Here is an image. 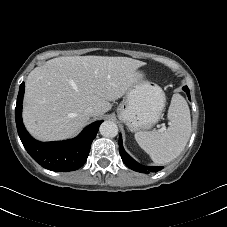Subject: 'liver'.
<instances>
[{"label":"liver","mask_w":227,"mask_h":227,"mask_svg":"<svg viewBox=\"0 0 227 227\" xmlns=\"http://www.w3.org/2000/svg\"><path fill=\"white\" fill-rule=\"evenodd\" d=\"M146 63L128 57L66 56L34 68L27 77L23 122L41 141L63 140L76 135L94 117L112 107L134 82Z\"/></svg>","instance_id":"obj_1"}]
</instances>
